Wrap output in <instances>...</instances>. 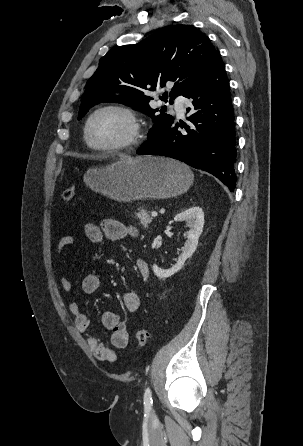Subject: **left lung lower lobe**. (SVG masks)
<instances>
[{"label":"left lung lower lobe","mask_w":303,"mask_h":446,"mask_svg":"<svg viewBox=\"0 0 303 446\" xmlns=\"http://www.w3.org/2000/svg\"><path fill=\"white\" fill-rule=\"evenodd\" d=\"M192 100L191 127L173 121L137 151L138 155L171 157L204 170L231 191L236 187V132L229 82L220 53L197 82L183 94Z\"/></svg>","instance_id":"left-lung-lower-lobe-1"}]
</instances>
